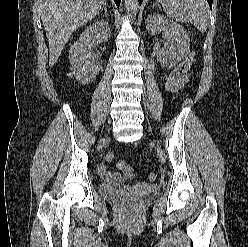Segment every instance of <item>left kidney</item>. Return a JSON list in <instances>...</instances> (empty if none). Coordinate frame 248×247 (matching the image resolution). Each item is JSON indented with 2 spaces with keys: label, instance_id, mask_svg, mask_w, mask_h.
<instances>
[{
  "label": "left kidney",
  "instance_id": "obj_1",
  "mask_svg": "<svg viewBox=\"0 0 248 247\" xmlns=\"http://www.w3.org/2000/svg\"><path fill=\"white\" fill-rule=\"evenodd\" d=\"M145 24L152 35H157L163 30L169 32L170 46L157 51V60L163 67L172 68L189 54L190 39L183 26L159 14L149 15Z\"/></svg>",
  "mask_w": 248,
  "mask_h": 247
}]
</instances>
